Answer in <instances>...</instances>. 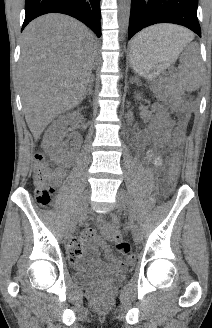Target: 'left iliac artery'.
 Returning a JSON list of instances; mask_svg holds the SVG:
<instances>
[{"label":"left iliac artery","mask_w":212,"mask_h":328,"mask_svg":"<svg viewBox=\"0 0 212 328\" xmlns=\"http://www.w3.org/2000/svg\"><path fill=\"white\" fill-rule=\"evenodd\" d=\"M127 203H128V205H129V208H130V211H131V213H132V215L134 216V218L137 220V215H136V212H135V210H134V208H133V206H132V204H131V202L129 201V199H128V197H127Z\"/></svg>","instance_id":"44dca946"}]
</instances>
